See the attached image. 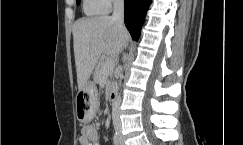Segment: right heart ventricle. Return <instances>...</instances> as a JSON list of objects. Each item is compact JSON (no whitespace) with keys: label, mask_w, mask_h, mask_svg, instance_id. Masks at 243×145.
Wrapping results in <instances>:
<instances>
[{"label":"right heart ventricle","mask_w":243,"mask_h":145,"mask_svg":"<svg viewBox=\"0 0 243 145\" xmlns=\"http://www.w3.org/2000/svg\"><path fill=\"white\" fill-rule=\"evenodd\" d=\"M83 10L88 16L104 14L107 8L101 0H83Z\"/></svg>","instance_id":"e07e8e85"}]
</instances>
